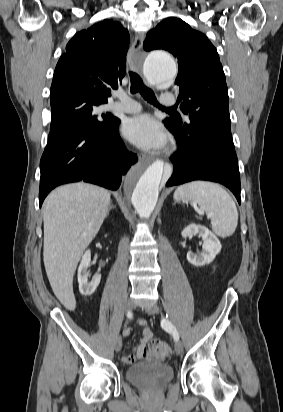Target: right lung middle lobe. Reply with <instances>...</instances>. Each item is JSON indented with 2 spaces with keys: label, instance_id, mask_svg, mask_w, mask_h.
I'll return each instance as SVG.
<instances>
[{
  "label": "right lung middle lobe",
  "instance_id": "dd1d6c3e",
  "mask_svg": "<svg viewBox=\"0 0 283 412\" xmlns=\"http://www.w3.org/2000/svg\"><path fill=\"white\" fill-rule=\"evenodd\" d=\"M100 103L80 102L71 105L64 113L51 116L50 133L48 138L59 131L72 132L88 126L104 130L112 125L116 117L109 113H100Z\"/></svg>",
  "mask_w": 283,
  "mask_h": 412
}]
</instances>
